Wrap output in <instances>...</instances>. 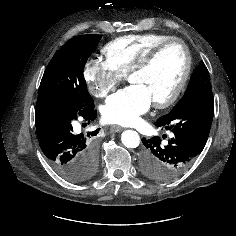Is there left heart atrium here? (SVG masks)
Listing matches in <instances>:
<instances>
[{
  "label": "left heart atrium",
  "mask_w": 236,
  "mask_h": 236,
  "mask_svg": "<svg viewBox=\"0 0 236 236\" xmlns=\"http://www.w3.org/2000/svg\"><path fill=\"white\" fill-rule=\"evenodd\" d=\"M151 103L148 91L141 85L132 84L107 99L102 108V117L110 124L133 125Z\"/></svg>",
  "instance_id": "left-heart-atrium-1"
}]
</instances>
